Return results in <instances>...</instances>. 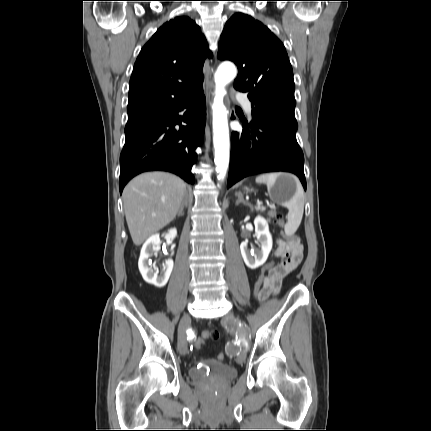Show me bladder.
Listing matches in <instances>:
<instances>
[{
	"instance_id": "obj_1",
	"label": "bladder",
	"mask_w": 431,
	"mask_h": 431,
	"mask_svg": "<svg viewBox=\"0 0 431 431\" xmlns=\"http://www.w3.org/2000/svg\"><path fill=\"white\" fill-rule=\"evenodd\" d=\"M189 375L197 381L226 382L237 376V370L227 363L205 359L192 366Z\"/></svg>"
}]
</instances>
